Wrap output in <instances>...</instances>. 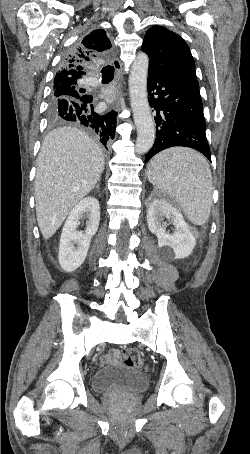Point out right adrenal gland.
<instances>
[{"mask_svg":"<svg viewBox=\"0 0 250 454\" xmlns=\"http://www.w3.org/2000/svg\"><path fill=\"white\" fill-rule=\"evenodd\" d=\"M96 190L99 191V184L96 186Z\"/></svg>","mask_w":250,"mask_h":454,"instance_id":"2a0ac1e0","label":"right adrenal gland"}]
</instances>
